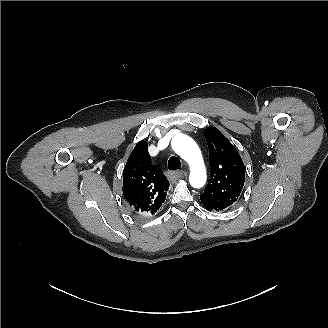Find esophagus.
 Instances as JSON below:
<instances>
[{
    "mask_svg": "<svg viewBox=\"0 0 328 328\" xmlns=\"http://www.w3.org/2000/svg\"><path fill=\"white\" fill-rule=\"evenodd\" d=\"M185 173L183 171H168L167 172V176L170 178V179H176V178H181L183 177Z\"/></svg>",
    "mask_w": 328,
    "mask_h": 328,
    "instance_id": "obj_1",
    "label": "esophagus"
}]
</instances>
